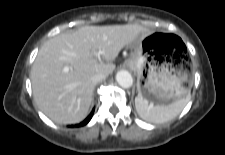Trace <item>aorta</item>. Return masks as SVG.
<instances>
[{
    "label": "aorta",
    "mask_w": 225,
    "mask_h": 155,
    "mask_svg": "<svg viewBox=\"0 0 225 155\" xmlns=\"http://www.w3.org/2000/svg\"><path fill=\"white\" fill-rule=\"evenodd\" d=\"M116 81L123 88H130L133 84V78L131 74L126 70L117 72Z\"/></svg>",
    "instance_id": "aorta-1"
}]
</instances>
